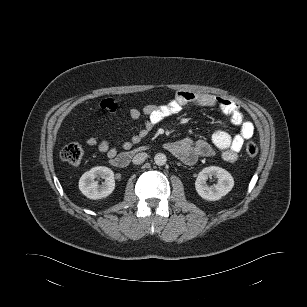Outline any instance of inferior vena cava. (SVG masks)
I'll list each match as a JSON object with an SVG mask.
<instances>
[{
	"label": "inferior vena cava",
	"instance_id": "inferior-vena-cava-1",
	"mask_svg": "<svg viewBox=\"0 0 307 307\" xmlns=\"http://www.w3.org/2000/svg\"><path fill=\"white\" fill-rule=\"evenodd\" d=\"M148 157L147 153L142 152V153H138L133 157L132 162L136 165L143 163L146 158Z\"/></svg>",
	"mask_w": 307,
	"mask_h": 307
}]
</instances>
